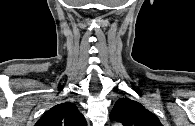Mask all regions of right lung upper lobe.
Segmentation results:
<instances>
[{
    "label": "right lung upper lobe",
    "instance_id": "1",
    "mask_svg": "<svg viewBox=\"0 0 195 126\" xmlns=\"http://www.w3.org/2000/svg\"><path fill=\"white\" fill-rule=\"evenodd\" d=\"M84 116L77 106L65 102L52 107L35 124V126H86Z\"/></svg>",
    "mask_w": 195,
    "mask_h": 126
}]
</instances>
